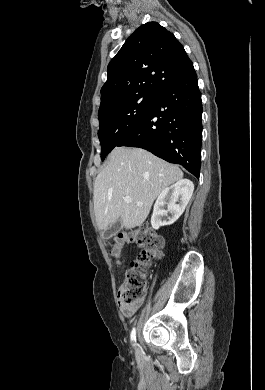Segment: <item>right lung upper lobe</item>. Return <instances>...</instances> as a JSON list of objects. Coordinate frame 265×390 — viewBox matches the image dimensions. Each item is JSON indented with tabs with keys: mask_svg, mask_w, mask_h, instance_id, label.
Listing matches in <instances>:
<instances>
[{
	"mask_svg": "<svg viewBox=\"0 0 265 390\" xmlns=\"http://www.w3.org/2000/svg\"><path fill=\"white\" fill-rule=\"evenodd\" d=\"M191 63L171 32L157 22L141 25L108 65L99 111L137 94H155Z\"/></svg>",
	"mask_w": 265,
	"mask_h": 390,
	"instance_id": "cb5924a9",
	"label": "right lung upper lobe"
}]
</instances>
